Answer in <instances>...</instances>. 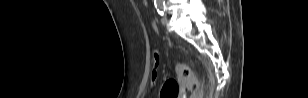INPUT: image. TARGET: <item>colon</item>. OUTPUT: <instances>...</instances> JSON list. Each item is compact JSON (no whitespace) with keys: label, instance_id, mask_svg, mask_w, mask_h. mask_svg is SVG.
Masks as SVG:
<instances>
[{"label":"colon","instance_id":"colon-1","mask_svg":"<svg viewBox=\"0 0 308 98\" xmlns=\"http://www.w3.org/2000/svg\"><path fill=\"white\" fill-rule=\"evenodd\" d=\"M155 64L158 63V54H154ZM175 70L177 74L184 80L188 90L190 91L191 98H201L202 91L200 83L197 80L196 76L193 74L191 68L183 62H179L175 65ZM156 73L154 71L152 79L154 80ZM160 98H177L178 96V84L173 79H168L162 85V88L159 93Z\"/></svg>","mask_w":308,"mask_h":98}]
</instances>
